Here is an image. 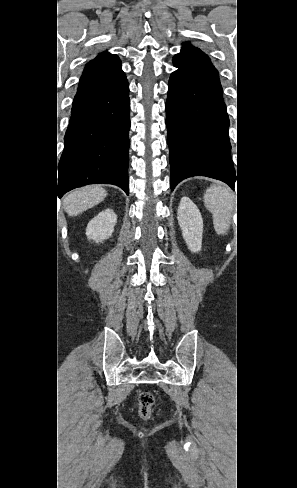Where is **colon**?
<instances>
[{"instance_id": "obj_1", "label": "colon", "mask_w": 297, "mask_h": 488, "mask_svg": "<svg viewBox=\"0 0 297 488\" xmlns=\"http://www.w3.org/2000/svg\"><path fill=\"white\" fill-rule=\"evenodd\" d=\"M154 396L150 392H141L138 397V415L142 420H149L152 416Z\"/></svg>"}]
</instances>
